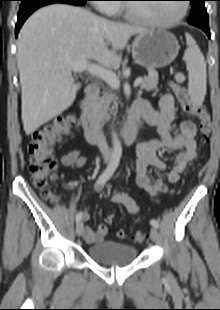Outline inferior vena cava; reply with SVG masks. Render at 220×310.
Here are the masks:
<instances>
[{
	"mask_svg": "<svg viewBox=\"0 0 220 310\" xmlns=\"http://www.w3.org/2000/svg\"><path fill=\"white\" fill-rule=\"evenodd\" d=\"M95 134L97 137V142H98V148L100 152L102 153L103 156H109L110 155V149L108 147L105 135L102 131V127L98 125L95 128Z\"/></svg>",
	"mask_w": 220,
	"mask_h": 310,
	"instance_id": "1",
	"label": "inferior vena cava"
}]
</instances>
